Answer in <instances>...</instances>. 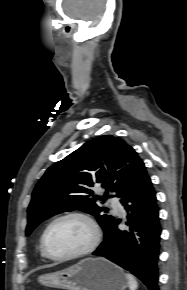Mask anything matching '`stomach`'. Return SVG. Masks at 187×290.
I'll list each match as a JSON object with an SVG mask.
<instances>
[{
  "label": "stomach",
  "instance_id": "stomach-1",
  "mask_svg": "<svg viewBox=\"0 0 187 290\" xmlns=\"http://www.w3.org/2000/svg\"><path fill=\"white\" fill-rule=\"evenodd\" d=\"M47 287L64 290H125L126 274L105 258H86L77 264L53 273L38 276Z\"/></svg>",
  "mask_w": 187,
  "mask_h": 290
}]
</instances>
